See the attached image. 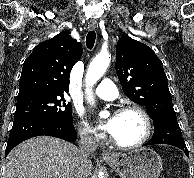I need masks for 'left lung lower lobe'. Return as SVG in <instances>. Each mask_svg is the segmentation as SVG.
Wrapping results in <instances>:
<instances>
[{"label":"left lung lower lobe","mask_w":194,"mask_h":178,"mask_svg":"<svg viewBox=\"0 0 194 178\" xmlns=\"http://www.w3.org/2000/svg\"><path fill=\"white\" fill-rule=\"evenodd\" d=\"M154 134L146 145L169 144L183 150L188 155V150L177 123L176 114H167L156 117L154 120Z\"/></svg>","instance_id":"obj_1"}]
</instances>
